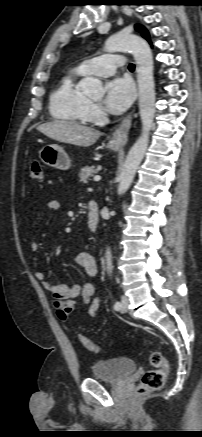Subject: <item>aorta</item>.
<instances>
[{"mask_svg":"<svg viewBox=\"0 0 202 437\" xmlns=\"http://www.w3.org/2000/svg\"><path fill=\"white\" fill-rule=\"evenodd\" d=\"M106 52L129 51L137 64V82L139 89V113L142 122V133L134 143L126 157L119 176L118 194L125 193L130 187L137 168L140 165L149 143V134L155 116V88L153 78V56L147 42L141 37L119 32L109 37L105 43ZM84 94L91 97L103 95L102 82L95 78H86L80 82ZM108 273H112V255L106 250Z\"/></svg>","mask_w":202,"mask_h":437,"instance_id":"1","label":"aorta"}]
</instances>
